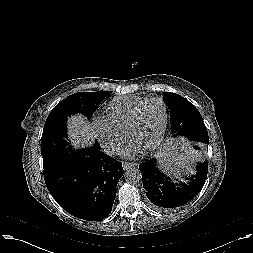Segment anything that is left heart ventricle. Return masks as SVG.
Instances as JSON below:
<instances>
[{
    "instance_id": "left-heart-ventricle-1",
    "label": "left heart ventricle",
    "mask_w": 253,
    "mask_h": 253,
    "mask_svg": "<svg viewBox=\"0 0 253 253\" xmlns=\"http://www.w3.org/2000/svg\"><path fill=\"white\" fill-rule=\"evenodd\" d=\"M165 118L164 106L159 101L148 104L142 111L130 140L142 148L150 146L158 137Z\"/></svg>"
}]
</instances>
